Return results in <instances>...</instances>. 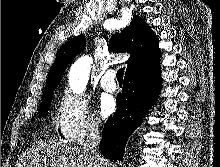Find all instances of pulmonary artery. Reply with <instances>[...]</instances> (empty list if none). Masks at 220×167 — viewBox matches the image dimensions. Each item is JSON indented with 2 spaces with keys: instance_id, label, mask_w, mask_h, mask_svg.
I'll return each instance as SVG.
<instances>
[{
  "instance_id": "obj_1",
  "label": "pulmonary artery",
  "mask_w": 220,
  "mask_h": 167,
  "mask_svg": "<svg viewBox=\"0 0 220 167\" xmlns=\"http://www.w3.org/2000/svg\"><path fill=\"white\" fill-rule=\"evenodd\" d=\"M100 85L106 92H114L117 89L115 71L107 70L101 77Z\"/></svg>"
}]
</instances>
